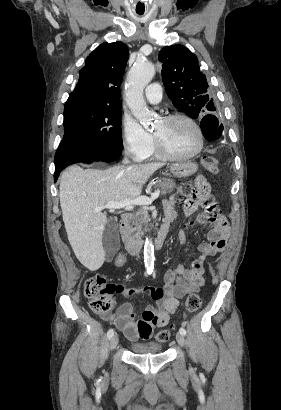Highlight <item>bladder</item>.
<instances>
[{"instance_id": "1", "label": "bladder", "mask_w": 281, "mask_h": 410, "mask_svg": "<svg viewBox=\"0 0 281 410\" xmlns=\"http://www.w3.org/2000/svg\"><path fill=\"white\" fill-rule=\"evenodd\" d=\"M130 350L136 355H151L161 353L163 347L155 342H144L131 344Z\"/></svg>"}]
</instances>
